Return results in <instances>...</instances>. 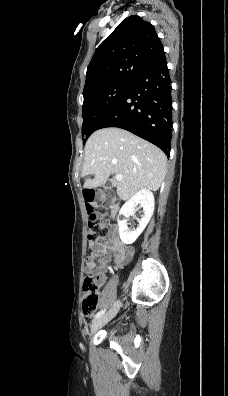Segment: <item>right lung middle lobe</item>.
Wrapping results in <instances>:
<instances>
[{
	"mask_svg": "<svg viewBox=\"0 0 228 396\" xmlns=\"http://www.w3.org/2000/svg\"><path fill=\"white\" fill-rule=\"evenodd\" d=\"M130 84V82L112 83L83 94L82 134L85 141L98 130L102 120L119 104Z\"/></svg>",
	"mask_w": 228,
	"mask_h": 396,
	"instance_id": "dd1d6c3e",
	"label": "right lung middle lobe"
}]
</instances>
